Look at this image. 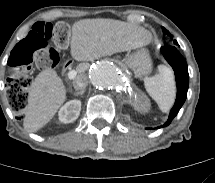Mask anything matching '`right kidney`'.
<instances>
[{"label": "right kidney", "mask_w": 215, "mask_h": 183, "mask_svg": "<svg viewBox=\"0 0 215 183\" xmlns=\"http://www.w3.org/2000/svg\"><path fill=\"white\" fill-rule=\"evenodd\" d=\"M81 111V101L80 100H71L67 102L59 110L58 116L59 120L63 123L74 122Z\"/></svg>", "instance_id": "1"}]
</instances>
